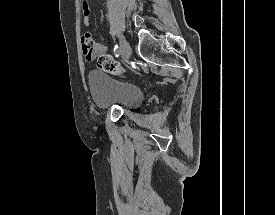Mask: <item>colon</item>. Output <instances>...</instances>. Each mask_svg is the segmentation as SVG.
Listing matches in <instances>:
<instances>
[{"mask_svg": "<svg viewBox=\"0 0 275 215\" xmlns=\"http://www.w3.org/2000/svg\"><path fill=\"white\" fill-rule=\"evenodd\" d=\"M83 1L85 3L87 0ZM97 66L101 70L113 75H118L122 72V67L120 63L108 54H103L98 57Z\"/></svg>", "mask_w": 275, "mask_h": 215, "instance_id": "5ec220e1", "label": "colon"}]
</instances>
